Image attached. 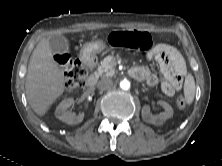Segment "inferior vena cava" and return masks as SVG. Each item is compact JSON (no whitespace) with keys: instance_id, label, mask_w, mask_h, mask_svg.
Wrapping results in <instances>:
<instances>
[{"instance_id":"602c4592","label":"inferior vena cava","mask_w":222,"mask_h":166,"mask_svg":"<svg viewBox=\"0 0 222 166\" xmlns=\"http://www.w3.org/2000/svg\"><path fill=\"white\" fill-rule=\"evenodd\" d=\"M98 87L101 90H109L113 87V81L110 78H103L98 82Z\"/></svg>"}]
</instances>
